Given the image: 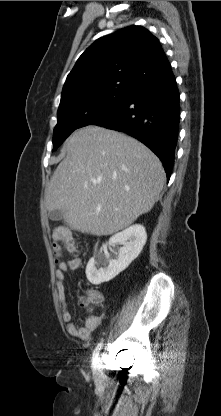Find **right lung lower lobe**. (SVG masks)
<instances>
[{
    "instance_id": "obj_1",
    "label": "right lung lower lobe",
    "mask_w": 221,
    "mask_h": 416,
    "mask_svg": "<svg viewBox=\"0 0 221 416\" xmlns=\"http://www.w3.org/2000/svg\"><path fill=\"white\" fill-rule=\"evenodd\" d=\"M179 118V92L170 68L165 79L131 91L108 117L92 125L125 132L143 142L160 158L169 180Z\"/></svg>"
}]
</instances>
